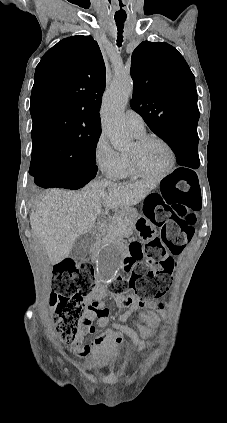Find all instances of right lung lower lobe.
Masks as SVG:
<instances>
[{
	"mask_svg": "<svg viewBox=\"0 0 227 423\" xmlns=\"http://www.w3.org/2000/svg\"><path fill=\"white\" fill-rule=\"evenodd\" d=\"M41 170L42 173L33 178L35 184L43 188L79 189L96 176L76 172L66 164H59L56 160L44 162Z\"/></svg>",
	"mask_w": 227,
	"mask_h": 423,
	"instance_id": "obj_1",
	"label": "right lung lower lobe"
}]
</instances>
